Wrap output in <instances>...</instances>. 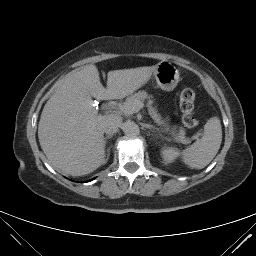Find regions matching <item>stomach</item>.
Returning <instances> with one entry per match:
<instances>
[{"label":"stomach","mask_w":256,"mask_h":256,"mask_svg":"<svg viewBox=\"0 0 256 256\" xmlns=\"http://www.w3.org/2000/svg\"><path fill=\"white\" fill-rule=\"evenodd\" d=\"M152 75L157 82V86L165 91H172L180 81L179 70L167 60H163L154 66Z\"/></svg>","instance_id":"1"}]
</instances>
